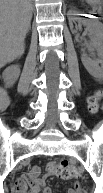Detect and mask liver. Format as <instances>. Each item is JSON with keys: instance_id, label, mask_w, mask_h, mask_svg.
<instances>
[{"instance_id": "6515ba94", "label": "liver", "mask_w": 103, "mask_h": 193, "mask_svg": "<svg viewBox=\"0 0 103 193\" xmlns=\"http://www.w3.org/2000/svg\"><path fill=\"white\" fill-rule=\"evenodd\" d=\"M0 65L20 58L24 51V40L32 19L30 0H1Z\"/></svg>"}]
</instances>
